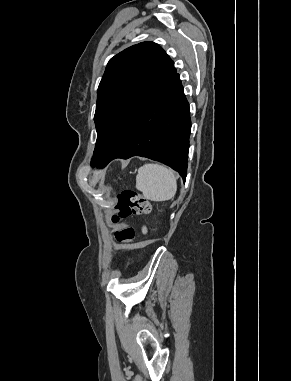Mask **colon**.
<instances>
[{
	"mask_svg": "<svg viewBox=\"0 0 291 381\" xmlns=\"http://www.w3.org/2000/svg\"><path fill=\"white\" fill-rule=\"evenodd\" d=\"M152 210L150 201L133 190H124L118 196L116 214L111 217L112 222L118 225L115 230V239L119 245L126 246L135 243L137 232L132 225L124 224L123 220L131 215L148 214ZM147 243H140L143 246Z\"/></svg>",
	"mask_w": 291,
	"mask_h": 381,
	"instance_id": "5ec220e1",
	"label": "colon"
}]
</instances>
